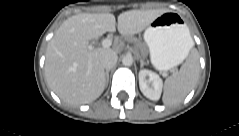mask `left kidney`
Returning a JSON list of instances; mask_svg holds the SVG:
<instances>
[{
	"instance_id": "1",
	"label": "left kidney",
	"mask_w": 239,
	"mask_h": 136,
	"mask_svg": "<svg viewBox=\"0 0 239 136\" xmlns=\"http://www.w3.org/2000/svg\"><path fill=\"white\" fill-rule=\"evenodd\" d=\"M163 81L160 76L150 70L143 69L139 72V87L144 96L153 101H158L162 92Z\"/></svg>"
}]
</instances>
